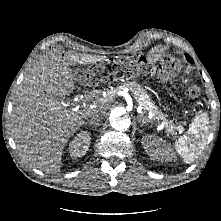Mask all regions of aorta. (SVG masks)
<instances>
[{"label":"aorta","instance_id":"1","mask_svg":"<svg viewBox=\"0 0 221 221\" xmlns=\"http://www.w3.org/2000/svg\"><path fill=\"white\" fill-rule=\"evenodd\" d=\"M110 125L117 131H125L131 126V118L123 108H115L110 115Z\"/></svg>","mask_w":221,"mask_h":221}]
</instances>
